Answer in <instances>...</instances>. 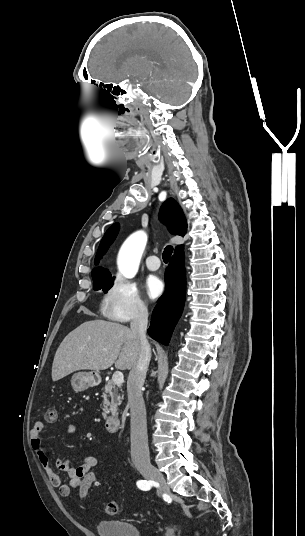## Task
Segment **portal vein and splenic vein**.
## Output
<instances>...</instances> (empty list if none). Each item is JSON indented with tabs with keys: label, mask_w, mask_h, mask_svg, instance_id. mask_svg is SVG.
I'll return each mask as SVG.
<instances>
[{
	"label": "portal vein and splenic vein",
	"mask_w": 305,
	"mask_h": 536,
	"mask_svg": "<svg viewBox=\"0 0 305 536\" xmlns=\"http://www.w3.org/2000/svg\"><path fill=\"white\" fill-rule=\"evenodd\" d=\"M103 350H105V352H106V348H103ZM112 380H113L114 384H117V386H121V384H123V382H124V376H123L122 372H114V374L112 376Z\"/></svg>",
	"instance_id": "obj_1"
}]
</instances>
